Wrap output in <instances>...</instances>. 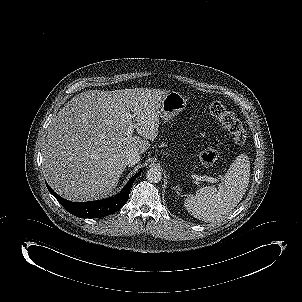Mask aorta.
<instances>
[{"instance_id":"762f6f07","label":"aorta","mask_w":302,"mask_h":302,"mask_svg":"<svg viewBox=\"0 0 302 302\" xmlns=\"http://www.w3.org/2000/svg\"><path fill=\"white\" fill-rule=\"evenodd\" d=\"M146 179L151 183H158L162 179V172L157 167H151L146 172Z\"/></svg>"}]
</instances>
